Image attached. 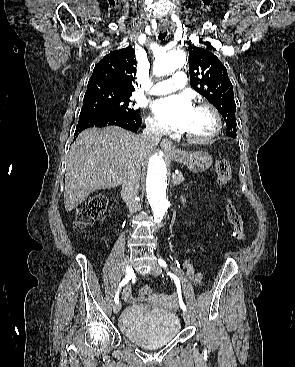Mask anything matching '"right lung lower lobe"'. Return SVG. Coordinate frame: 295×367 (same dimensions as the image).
Listing matches in <instances>:
<instances>
[{"label": "right lung lower lobe", "instance_id": "1", "mask_svg": "<svg viewBox=\"0 0 295 367\" xmlns=\"http://www.w3.org/2000/svg\"><path fill=\"white\" fill-rule=\"evenodd\" d=\"M141 123L142 118L139 114L86 115L79 117V122L74 134V139L81 131L91 127H104L115 125L133 132H137Z\"/></svg>", "mask_w": 295, "mask_h": 367}]
</instances>
